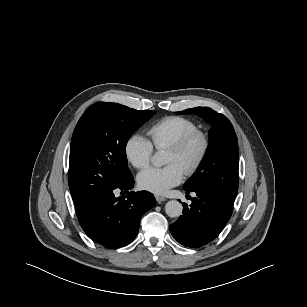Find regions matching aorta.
<instances>
[{
	"label": "aorta",
	"mask_w": 307,
	"mask_h": 307,
	"mask_svg": "<svg viewBox=\"0 0 307 307\" xmlns=\"http://www.w3.org/2000/svg\"><path fill=\"white\" fill-rule=\"evenodd\" d=\"M153 163L156 166H161L165 163L163 154L161 152H157L153 156ZM183 206L177 200H170L165 205V212L171 218L179 217L182 214Z\"/></svg>",
	"instance_id": "1"
}]
</instances>
